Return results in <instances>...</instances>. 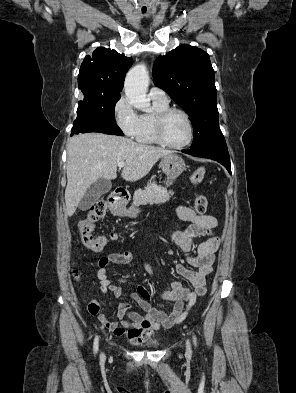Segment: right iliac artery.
I'll use <instances>...</instances> for the list:
<instances>
[{"label": "right iliac artery", "instance_id": "1", "mask_svg": "<svg viewBox=\"0 0 296 393\" xmlns=\"http://www.w3.org/2000/svg\"><path fill=\"white\" fill-rule=\"evenodd\" d=\"M97 351H98V336H96L94 340V352L97 353Z\"/></svg>", "mask_w": 296, "mask_h": 393}]
</instances>
